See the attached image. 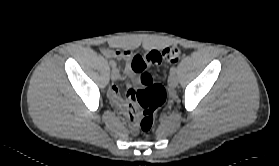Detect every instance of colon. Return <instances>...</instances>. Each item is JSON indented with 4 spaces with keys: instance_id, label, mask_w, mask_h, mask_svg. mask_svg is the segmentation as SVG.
<instances>
[{
    "instance_id": "obj_1",
    "label": "colon",
    "mask_w": 279,
    "mask_h": 166,
    "mask_svg": "<svg viewBox=\"0 0 279 166\" xmlns=\"http://www.w3.org/2000/svg\"><path fill=\"white\" fill-rule=\"evenodd\" d=\"M182 57V51L177 46H170L162 51L152 50L142 55H136L131 62L132 71L140 77L142 89L135 94L137 99L134 103V114H136L135 103L141 108L142 115L139 127L143 132H148L154 126L157 111L166 101V90L153 81L152 76L146 71L150 65L166 61L176 63Z\"/></svg>"
}]
</instances>
